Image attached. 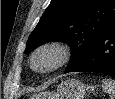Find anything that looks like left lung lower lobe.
Listing matches in <instances>:
<instances>
[{
    "label": "left lung lower lobe",
    "mask_w": 115,
    "mask_h": 99,
    "mask_svg": "<svg viewBox=\"0 0 115 99\" xmlns=\"http://www.w3.org/2000/svg\"><path fill=\"white\" fill-rule=\"evenodd\" d=\"M99 72L115 78V23L68 72Z\"/></svg>",
    "instance_id": "obj_1"
}]
</instances>
